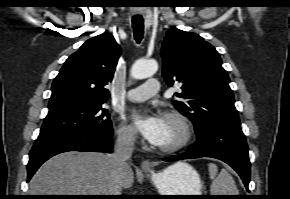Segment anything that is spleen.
Here are the masks:
<instances>
[{
	"label": "spleen",
	"mask_w": 290,
	"mask_h": 199,
	"mask_svg": "<svg viewBox=\"0 0 290 199\" xmlns=\"http://www.w3.org/2000/svg\"><path fill=\"white\" fill-rule=\"evenodd\" d=\"M208 168L212 180L211 195H238L235 182L227 170L222 169L218 174V167L214 163H209Z\"/></svg>",
	"instance_id": "obj_1"
}]
</instances>
